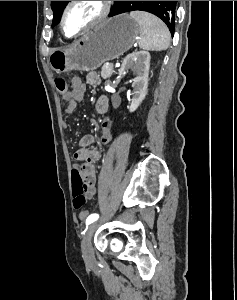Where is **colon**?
<instances>
[{
	"instance_id": "5ec220e1",
	"label": "colon",
	"mask_w": 237,
	"mask_h": 300,
	"mask_svg": "<svg viewBox=\"0 0 237 300\" xmlns=\"http://www.w3.org/2000/svg\"><path fill=\"white\" fill-rule=\"evenodd\" d=\"M55 85L57 91L64 95L69 93L72 98L76 100H81L84 92L85 86L80 85L77 88H73L71 91L68 90V84L63 78H57L55 80ZM72 194H73V204L75 208H82L86 203V197L84 195V182L81 173L78 169L73 168L72 170Z\"/></svg>"
}]
</instances>
